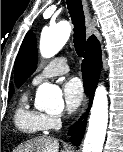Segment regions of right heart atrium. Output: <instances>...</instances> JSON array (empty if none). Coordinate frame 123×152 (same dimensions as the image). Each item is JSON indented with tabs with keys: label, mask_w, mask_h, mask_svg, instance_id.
Segmentation results:
<instances>
[{
	"label": "right heart atrium",
	"mask_w": 123,
	"mask_h": 152,
	"mask_svg": "<svg viewBox=\"0 0 123 152\" xmlns=\"http://www.w3.org/2000/svg\"><path fill=\"white\" fill-rule=\"evenodd\" d=\"M61 123L60 114L45 115V127L47 130L56 129Z\"/></svg>",
	"instance_id": "1"
}]
</instances>
